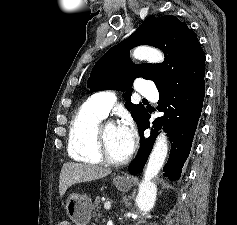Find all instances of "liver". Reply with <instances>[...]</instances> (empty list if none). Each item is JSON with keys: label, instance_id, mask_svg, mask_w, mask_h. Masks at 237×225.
<instances>
[{"label": "liver", "instance_id": "1", "mask_svg": "<svg viewBox=\"0 0 237 225\" xmlns=\"http://www.w3.org/2000/svg\"><path fill=\"white\" fill-rule=\"evenodd\" d=\"M110 173V169L98 166L74 162L65 163L60 173L59 194L63 196L67 189L74 184L101 179Z\"/></svg>", "mask_w": 237, "mask_h": 225}]
</instances>
